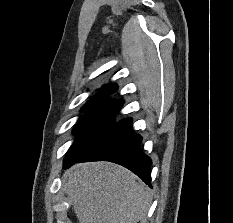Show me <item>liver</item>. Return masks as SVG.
Listing matches in <instances>:
<instances>
[{
	"label": "liver",
	"mask_w": 233,
	"mask_h": 223,
	"mask_svg": "<svg viewBox=\"0 0 233 223\" xmlns=\"http://www.w3.org/2000/svg\"><path fill=\"white\" fill-rule=\"evenodd\" d=\"M63 183L78 223H138L151 201L134 173L110 161L74 163Z\"/></svg>",
	"instance_id": "1"
}]
</instances>
